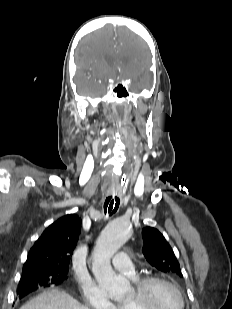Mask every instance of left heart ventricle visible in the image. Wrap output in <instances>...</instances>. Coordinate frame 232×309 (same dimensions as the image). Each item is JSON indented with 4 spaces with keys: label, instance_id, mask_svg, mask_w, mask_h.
Masks as SVG:
<instances>
[{
    "label": "left heart ventricle",
    "instance_id": "b2bd125f",
    "mask_svg": "<svg viewBox=\"0 0 232 309\" xmlns=\"http://www.w3.org/2000/svg\"><path fill=\"white\" fill-rule=\"evenodd\" d=\"M133 291L130 293L131 297ZM151 304L154 309H180L181 300L175 290L165 284H155L151 289Z\"/></svg>",
    "mask_w": 232,
    "mask_h": 309
}]
</instances>
